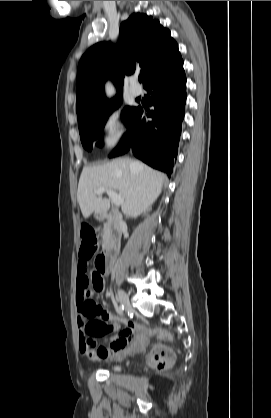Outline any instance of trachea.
Segmentation results:
<instances>
[{"instance_id": "trachea-1", "label": "trachea", "mask_w": 271, "mask_h": 418, "mask_svg": "<svg viewBox=\"0 0 271 418\" xmlns=\"http://www.w3.org/2000/svg\"><path fill=\"white\" fill-rule=\"evenodd\" d=\"M139 82H142V77H139Z\"/></svg>"}]
</instances>
